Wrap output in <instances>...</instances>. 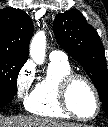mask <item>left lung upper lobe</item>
<instances>
[{
	"instance_id": "left-lung-upper-lobe-1",
	"label": "left lung upper lobe",
	"mask_w": 108,
	"mask_h": 127,
	"mask_svg": "<svg viewBox=\"0 0 108 127\" xmlns=\"http://www.w3.org/2000/svg\"><path fill=\"white\" fill-rule=\"evenodd\" d=\"M59 45L84 67L108 116V70L104 47L96 30L76 9L59 13L54 20Z\"/></svg>"
}]
</instances>
